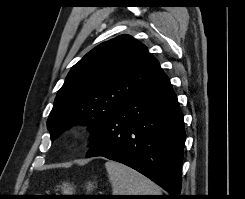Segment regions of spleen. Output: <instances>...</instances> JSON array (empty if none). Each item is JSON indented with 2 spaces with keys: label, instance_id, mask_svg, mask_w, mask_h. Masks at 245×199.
Here are the masks:
<instances>
[{
  "label": "spleen",
  "instance_id": "3e777b00",
  "mask_svg": "<svg viewBox=\"0 0 245 199\" xmlns=\"http://www.w3.org/2000/svg\"><path fill=\"white\" fill-rule=\"evenodd\" d=\"M105 168L113 195H161L154 182L124 164L107 161Z\"/></svg>",
  "mask_w": 245,
  "mask_h": 199
}]
</instances>
